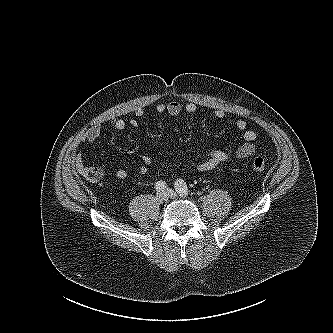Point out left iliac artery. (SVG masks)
Listing matches in <instances>:
<instances>
[{
    "label": "left iliac artery",
    "mask_w": 333,
    "mask_h": 333,
    "mask_svg": "<svg viewBox=\"0 0 333 333\" xmlns=\"http://www.w3.org/2000/svg\"><path fill=\"white\" fill-rule=\"evenodd\" d=\"M175 189L180 194V196H186V195H188L187 184L182 179H178L175 182Z\"/></svg>",
    "instance_id": "left-iliac-artery-1"
}]
</instances>
